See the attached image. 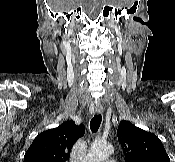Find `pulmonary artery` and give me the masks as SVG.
<instances>
[{
    "label": "pulmonary artery",
    "instance_id": "e3ab8cb5",
    "mask_svg": "<svg viewBox=\"0 0 175 162\" xmlns=\"http://www.w3.org/2000/svg\"><path fill=\"white\" fill-rule=\"evenodd\" d=\"M103 162H115V160H113V159H107V160H104Z\"/></svg>",
    "mask_w": 175,
    "mask_h": 162
}]
</instances>
